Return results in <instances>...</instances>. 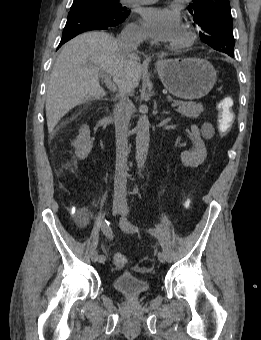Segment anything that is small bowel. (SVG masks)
<instances>
[{
    "mask_svg": "<svg viewBox=\"0 0 261 340\" xmlns=\"http://www.w3.org/2000/svg\"><path fill=\"white\" fill-rule=\"evenodd\" d=\"M88 219H89V216L87 213L81 211L77 214L76 216V220H77V224L80 226V227H84L86 226L87 222H88Z\"/></svg>",
    "mask_w": 261,
    "mask_h": 340,
    "instance_id": "1",
    "label": "small bowel"
}]
</instances>
